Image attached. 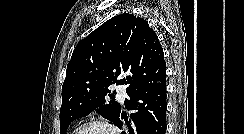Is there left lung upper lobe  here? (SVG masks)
I'll use <instances>...</instances> for the list:
<instances>
[{"label": "left lung upper lobe", "instance_id": "1", "mask_svg": "<svg viewBox=\"0 0 244 134\" xmlns=\"http://www.w3.org/2000/svg\"><path fill=\"white\" fill-rule=\"evenodd\" d=\"M123 75V79L117 77ZM126 84L127 94L166 84V63L156 33L146 20L128 13L117 15L82 39L67 65L62 86L60 134L70 123L98 109L116 122L121 106L108 87ZM115 93V91H114Z\"/></svg>", "mask_w": 244, "mask_h": 134}]
</instances>
